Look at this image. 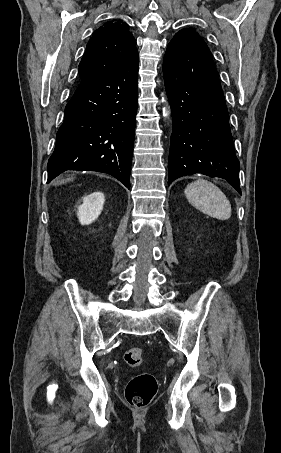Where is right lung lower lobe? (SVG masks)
<instances>
[{
  "instance_id": "98d812e1",
  "label": "right lung lower lobe",
  "mask_w": 281,
  "mask_h": 453,
  "mask_svg": "<svg viewBox=\"0 0 281 453\" xmlns=\"http://www.w3.org/2000/svg\"><path fill=\"white\" fill-rule=\"evenodd\" d=\"M138 107V53L105 77L81 81L65 108L48 183L66 170L108 173L130 189Z\"/></svg>"
}]
</instances>
